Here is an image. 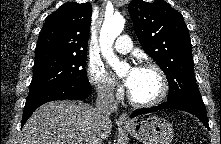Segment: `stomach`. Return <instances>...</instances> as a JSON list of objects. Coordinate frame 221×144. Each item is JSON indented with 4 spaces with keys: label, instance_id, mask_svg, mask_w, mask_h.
<instances>
[{
    "label": "stomach",
    "instance_id": "obj_1",
    "mask_svg": "<svg viewBox=\"0 0 221 144\" xmlns=\"http://www.w3.org/2000/svg\"><path fill=\"white\" fill-rule=\"evenodd\" d=\"M124 129L143 144H170L174 133L171 124L158 116H151L126 125Z\"/></svg>",
    "mask_w": 221,
    "mask_h": 144
}]
</instances>
